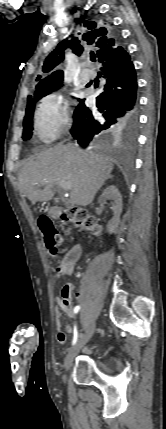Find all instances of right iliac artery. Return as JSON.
Returning a JSON list of instances; mask_svg holds the SVG:
<instances>
[{
  "mask_svg": "<svg viewBox=\"0 0 166 429\" xmlns=\"http://www.w3.org/2000/svg\"><path fill=\"white\" fill-rule=\"evenodd\" d=\"M80 310V306H76L74 308V313H78V311ZM82 336V335H81ZM78 339V331H77V327L74 326V336H73V341H72V345H74L77 342Z\"/></svg>",
  "mask_w": 166,
  "mask_h": 429,
  "instance_id": "right-iliac-artery-1",
  "label": "right iliac artery"
}]
</instances>
